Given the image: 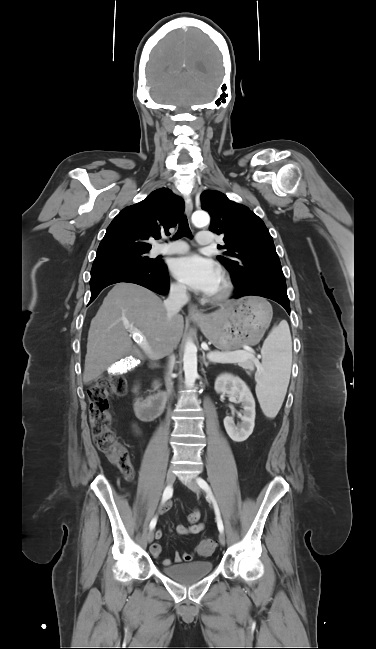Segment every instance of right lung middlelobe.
<instances>
[{
  "mask_svg": "<svg viewBox=\"0 0 376 649\" xmlns=\"http://www.w3.org/2000/svg\"><path fill=\"white\" fill-rule=\"evenodd\" d=\"M148 251H131V252H111L105 254H97L93 266L98 267L110 263H129V264H142L152 265L156 262L150 259L146 253Z\"/></svg>",
  "mask_w": 376,
  "mask_h": 649,
  "instance_id": "right-lung-middle-lobe-1",
  "label": "right lung middle lobe"
}]
</instances>
